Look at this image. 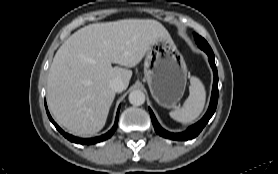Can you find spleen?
Wrapping results in <instances>:
<instances>
[{"label": "spleen", "instance_id": "3e777b00", "mask_svg": "<svg viewBox=\"0 0 278 174\" xmlns=\"http://www.w3.org/2000/svg\"><path fill=\"white\" fill-rule=\"evenodd\" d=\"M206 100V91L199 78L192 76L190 79L189 96L179 109L171 111L170 117L181 123L194 121L203 111Z\"/></svg>", "mask_w": 278, "mask_h": 174}]
</instances>
